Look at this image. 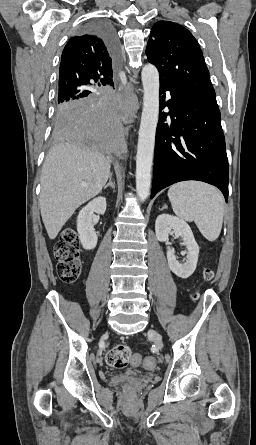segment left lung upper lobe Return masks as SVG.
Masks as SVG:
<instances>
[{
	"label": "left lung upper lobe",
	"mask_w": 256,
	"mask_h": 445,
	"mask_svg": "<svg viewBox=\"0 0 256 445\" xmlns=\"http://www.w3.org/2000/svg\"><path fill=\"white\" fill-rule=\"evenodd\" d=\"M146 55L160 74V80L171 81L196 93L215 97L203 53L193 35L170 21L154 24Z\"/></svg>",
	"instance_id": "left-lung-upper-lobe-1"
}]
</instances>
